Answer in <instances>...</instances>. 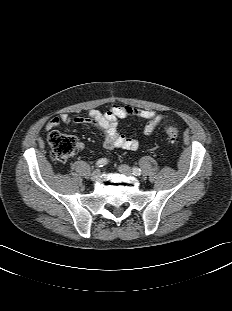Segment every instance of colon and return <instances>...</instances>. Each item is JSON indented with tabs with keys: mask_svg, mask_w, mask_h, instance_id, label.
I'll return each instance as SVG.
<instances>
[{
	"mask_svg": "<svg viewBox=\"0 0 232 311\" xmlns=\"http://www.w3.org/2000/svg\"><path fill=\"white\" fill-rule=\"evenodd\" d=\"M164 122L163 119H160ZM165 132L170 141H176L179 136L178 128L174 125H165ZM48 142L52 150L53 158L63 162L74 156L77 145L74 137L58 131H52L48 135Z\"/></svg>",
	"mask_w": 232,
	"mask_h": 311,
	"instance_id": "5ec220e1",
	"label": "colon"
}]
</instances>
